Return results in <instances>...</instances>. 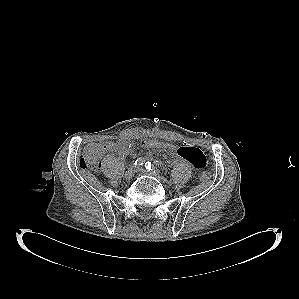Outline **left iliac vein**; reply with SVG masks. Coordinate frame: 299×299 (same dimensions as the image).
Wrapping results in <instances>:
<instances>
[{
	"mask_svg": "<svg viewBox=\"0 0 299 299\" xmlns=\"http://www.w3.org/2000/svg\"><path fill=\"white\" fill-rule=\"evenodd\" d=\"M138 171H140V172H142V173H144V174H146V175L156 177L157 179H159V180L162 181V182H166V181H167L164 177L160 176V175H159L158 173H156V172H147V171H146L145 169H143V168H138Z\"/></svg>",
	"mask_w": 299,
	"mask_h": 299,
	"instance_id": "1",
	"label": "left iliac vein"
}]
</instances>
